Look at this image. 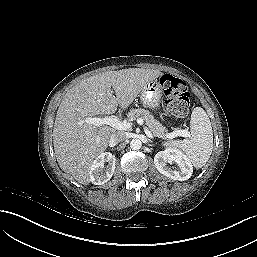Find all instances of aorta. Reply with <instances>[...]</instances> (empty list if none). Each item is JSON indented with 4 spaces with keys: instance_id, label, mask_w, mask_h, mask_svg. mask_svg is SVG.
Masks as SVG:
<instances>
[{
    "instance_id": "obj_1",
    "label": "aorta",
    "mask_w": 257,
    "mask_h": 257,
    "mask_svg": "<svg viewBox=\"0 0 257 257\" xmlns=\"http://www.w3.org/2000/svg\"><path fill=\"white\" fill-rule=\"evenodd\" d=\"M130 147L132 150H139L142 147V142L140 139H132L130 142Z\"/></svg>"
}]
</instances>
